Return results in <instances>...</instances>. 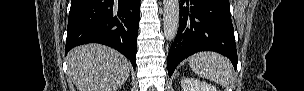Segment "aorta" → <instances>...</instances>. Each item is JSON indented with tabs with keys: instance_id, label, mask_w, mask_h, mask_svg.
Returning a JSON list of instances; mask_svg holds the SVG:
<instances>
[{
	"instance_id": "obj_1",
	"label": "aorta",
	"mask_w": 304,
	"mask_h": 91,
	"mask_svg": "<svg viewBox=\"0 0 304 91\" xmlns=\"http://www.w3.org/2000/svg\"><path fill=\"white\" fill-rule=\"evenodd\" d=\"M180 8L178 0H163V32L164 37L175 39L179 27Z\"/></svg>"
}]
</instances>
